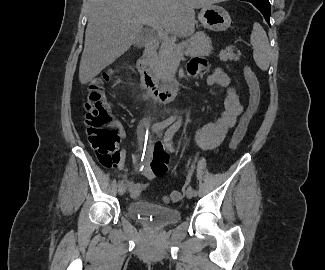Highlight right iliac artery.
I'll return each instance as SVG.
<instances>
[{"label":"right iliac artery","instance_id":"right-iliac-artery-1","mask_svg":"<svg viewBox=\"0 0 325 270\" xmlns=\"http://www.w3.org/2000/svg\"><path fill=\"white\" fill-rule=\"evenodd\" d=\"M175 118L172 116V117H169L168 119L162 121V122H159V123H155L153 126H152V131L153 132H158L162 129H164L165 127L169 126L170 124H172L174 122ZM123 184V180L119 181L118 182V186H121Z\"/></svg>","mask_w":325,"mask_h":270}]
</instances>
